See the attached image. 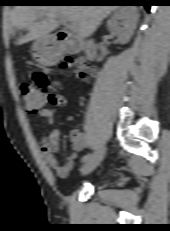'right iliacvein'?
<instances>
[{"label":"right iliac vein","mask_w":170,"mask_h":231,"mask_svg":"<svg viewBox=\"0 0 170 231\" xmlns=\"http://www.w3.org/2000/svg\"><path fill=\"white\" fill-rule=\"evenodd\" d=\"M106 153V148L102 146L93 156L82 166L81 173L83 175L91 173L96 167L100 165Z\"/></svg>","instance_id":"right-iliac-vein-1"}]
</instances>
